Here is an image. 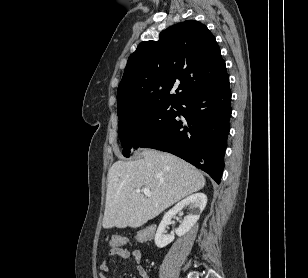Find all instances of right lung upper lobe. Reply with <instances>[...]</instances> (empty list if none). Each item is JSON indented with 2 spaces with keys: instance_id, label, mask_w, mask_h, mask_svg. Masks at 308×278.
<instances>
[{
  "instance_id": "1",
  "label": "right lung upper lobe",
  "mask_w": 308,
  "mask_h": 278,
  "mask_svg": "<svg viewBox=\"0 0 308 278\" xmlns=\"http://www.w3.org/2000/svg\"><path fill=\"white\" fill-rule=\"evenodd\" d=\"M228 78L215 37L195 20L169 27L158 41L141 42L118 86L119 121L158 103L178 104ZM173 86L177 94L171 95ZM180 90V92H179Z\"/></svg>"
}]
</instances>
